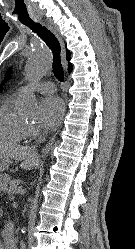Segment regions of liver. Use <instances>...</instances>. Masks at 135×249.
Masks as SVG:
<instances>
[{
	"label": "liver",
	"mask_w": 135,
	"mask_h": 249,
	"mask_svg": "<svg viewBox=\"0 0 135 249\" xmlns=\"http://www.w3.org/2000/svg\"><path fill=\"white\" fill-rule=\"evenodd\" d=\"M0 155L21 161L20 167L24 170L36 169L39 165L37 154L29 146L0 143Z\"/></svg>",
	"instance_id": "1"
}]
</instances>
